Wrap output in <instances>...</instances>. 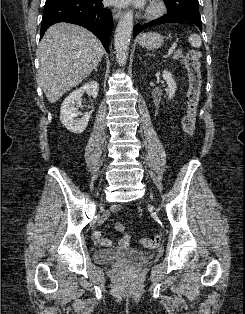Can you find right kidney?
<instances>
[{"mask_svg": "<svg viewBox=\"0 0 245 314\" xmlns=\"http://www.w3.org/2000/svg\"><path fill=\"white\" fill-rule=\"evenodd\" d=\"M84 92H87L93 98H96L99 92V84L96 81H91L83 85L79 89L70 93L61 105L60 120L67 130L74 134H81L84 132L92 113V111L87 112L81 119H77L78 110L76 105L78 107L81 106V97Z\"/></svg>", "mask_w": 245, "mask_h": 314, "instance_id": "right-kidney-1", "label": "right kidney"}]
</instances>
